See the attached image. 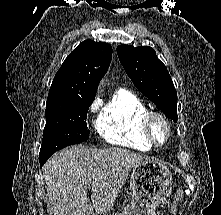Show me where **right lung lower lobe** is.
<instances>
[{
	"mask_svg": "<svg viewBox=\"0 0 221 215\" xmlns=\"http://www.w3.org/2000/svg\"><path fill=\"white\" fill-rule=\"evenodd\" d=\"M47 157L46 158H40V167H42V165L47 161Z\"/></svg>",
	"mask_w": 221,
	"mask_h": 215,
	"instance_id": "right-lung-lower-lobe-1",
	"label": "right lung lower lobe"
}]
</instances>
